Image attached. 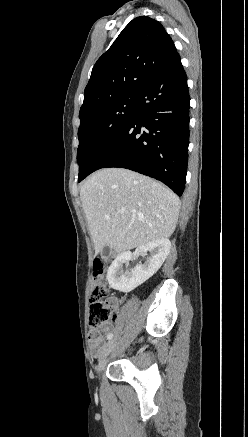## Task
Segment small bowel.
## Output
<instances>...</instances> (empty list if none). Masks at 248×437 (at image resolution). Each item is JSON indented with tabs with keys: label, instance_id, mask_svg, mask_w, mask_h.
I'll return each instance as SVG.
<instances>
[{
	"label": "small bowel",
	"instance_id": "1",
	"mask_svg": "<svg viewBox=\"0 0 248 437\" xmlns=\"http://www.w3.org/2000/svg\"><path fill=\"white\" fill-rule=\"evenodd\" d=\"M103 330L107 332V335L111 333L112 326L107 324L103 326ZM90 345L95 354H99L102 348L103 338L99 330L93 329L89 333Z\"/></svg>",
	"mask_w": 248,
	"mask_h": 437
}]
</instances>
